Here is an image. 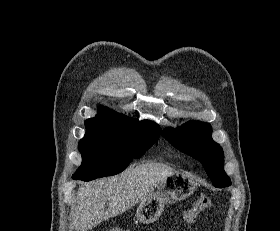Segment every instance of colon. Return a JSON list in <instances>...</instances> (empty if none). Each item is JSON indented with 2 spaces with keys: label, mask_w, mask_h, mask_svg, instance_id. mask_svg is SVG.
<instances>
[{
  "label": "colon",
  "mask_w": 280,
  "mask_h": 231,
  "mask_svg": "<svg viewBox=\"0 0 280 231\" xmlns=\"http://www.w3.org/2000/svg\"><path fill=\"white\" fill-rule=\"evenodd\" d=\"M210 204H211L210 198L206 194H200L194 200L192 207L187 209V212L190 214L198 213L199 210L207 208ZM184 219L185 220H177L176 224L177 225H187L188 224L187 220H194L195 216L194 215H185ZM166 229L170 230L171 226L167 225Z\"/></svg>",
  "instance_id": "colon-1"
}]
</instances>
